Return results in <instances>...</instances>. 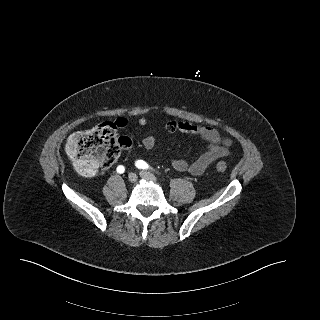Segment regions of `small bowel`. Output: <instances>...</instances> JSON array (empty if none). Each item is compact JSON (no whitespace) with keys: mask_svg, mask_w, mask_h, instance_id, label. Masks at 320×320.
Returning <instances> with one entry per match:
<instances>
[{"mask_svg":"<svg viewBox=\"0 0 320 320\" xmlns=\"http://www.w3.org/2000/svg\"><path fill=\"white\" fill-rule=\"evenodd\" d=\"M116 124L119 127H124L126 120L120 118L116 121ZM138 124L139 126H145L147 120L141 117L138 119ZM166 130L169 133L181 132L194 135L200 137L207 143L206 151L192 162L184 159L172 160L171 165L176 171L200 175L217 159L230 156L232 141L229 138H223L220 133L212 127L197 125L186 121H169L166 124ZM142 144L145 149L151 150L156 145V137L148 135L143 139Z\"/></svg>","mask_w":320,"mask_h":320,"instance_id":"small-bowel-1","label":"small bowel"}]
</instances>
